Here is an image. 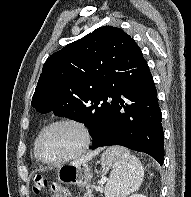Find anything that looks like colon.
<instances>
[{
    "label": "colon",
    "instance_id": "1",
    "mask_svg": "<svg viewBox=\"0 0 191 197\" xmlns=\"http://www.w3.org/2000/svg\"><path fill=\"white\" fill-rule=\"evenodd\" d=\"M49 186V181L48 179L41 175V174H35L33 176V192L35 194H40L42 193L47 187ZM54 191H57L62 197H68V194L64 190H60L56 186H52Z\"/></svg>",
    "mask_w": 191,
    "mask_h": 197
}]
</instances>
